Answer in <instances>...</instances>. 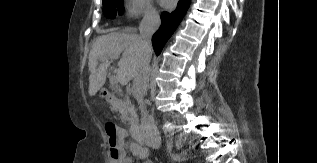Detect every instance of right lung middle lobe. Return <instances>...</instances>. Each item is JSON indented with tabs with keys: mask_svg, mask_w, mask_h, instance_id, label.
I'll list each match as a JSON object with an SVG mask.
<instances>
[{
	"mask_svg": "<svg viewBox=\"0 0 317 163\" xmlns=\"http://www.w3.org/2000/svg\"><path fill=\"white\" fill-rule=\"evenodd\" d=\"M104 14L109 18H115L123 13V0H103Z\"/></svg>",
	"mask_w": 317,
	"mask_h": 163,
	"instance_id": "obj_1",
	"label": "right lung middle lobe"
}]
</instances>
